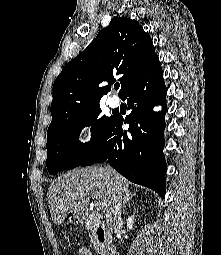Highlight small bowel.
<instances>
[{
	"label": "small bowel",
	"instance_id": "obj_1",
	"mask_svg": "<svg viewBox=\"0 0 221 255\" xmlns=\"http://www.w3.org/2000/svg\"><path fill=\"white\" fill-rule=\"evenodd\" d=\"M78 255H92V252L87 247H79Z\"/></svg>",
	"mask_w": 221,
	"mask_h": 255
}]
</instances>
